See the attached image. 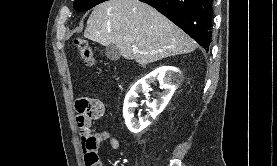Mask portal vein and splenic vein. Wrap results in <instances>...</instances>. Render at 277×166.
I'll list each match as a JSON object with an SVG mask.
<instances>
[{"label":"portal vein and splenic vein","mask_w":277,"mask_h":166,"mask_svg":"<svg viewBox=\"0 0 277 166\" xmlns=\"http://www.w3.org/2000/svg\"><path fill=\"white\" fill-rule=\"evenodd\" d=\"M133 52H138V48L134 47Z\"/></svg>","instance_id":"obj_1"}]
</instances>
